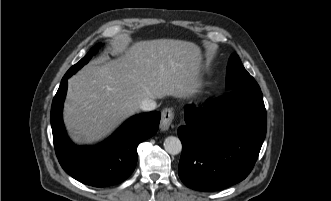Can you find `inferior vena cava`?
<instances>
[{
	"mask_svg": "<svg viewBox=\"0 0 331 201\" xmlns=\"http://www.w3.org/2000/svg\"><path fill=\"white\" fill-rule=\"evenodd\" d=\"M157 107L156 102L154 101V99L152 98H146L144 99L141 104H140V108L143 111H152Z\"/></svg>",
	"mask_w": 331,
	"mask_h": 201,
	"instance_id": "1",
	"label": "inferior vena cava"
}]
</instances>
